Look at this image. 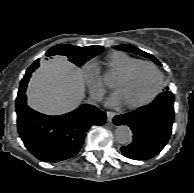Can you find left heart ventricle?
<instances>
[{
  "label": "left heart ventricle",
  "mask_w": 194,
  "mask_h": 193,
  "mask_svg": "<svg viewBox=\"0 0 194 193\" xmlns=\"http://www.w3.org/2000/svg\"><path fill=\"white\" fill-rule=\"evenodd\" d=\"M158 76L147 65L139 67L127 80L117 78L114 82L116 91L124 103L136 104L148 99L155 91Z\"/></svg>",
  "instance_id": "left-heart-ventricle-1"
}]
</instances>
